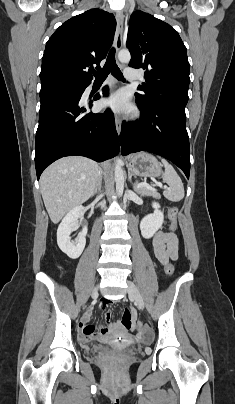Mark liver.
I'll return each mask as SVG.
<instances>
[{"label": "liver", "instance_id": "obj_1", "mask_svg": "<svg viewBox=\"0 0 235 404\" xmlns=\"http://www.w3.org/2000/svg\"><path fill=\"white\" fill-rule=\"evenodd\" d=\"M100 173L97 162L82 156L61 158L45 169L40 191L53 223L93 195Z\"/></svg>", "mask_w": 235, "mask_h": 404}]
</instances>
